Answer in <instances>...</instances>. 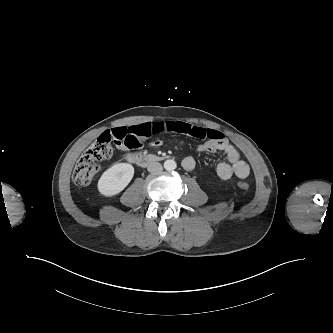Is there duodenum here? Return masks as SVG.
Instances as JSON below:
<instances>
[{
  "label": "duodenum",
  "mask_w": 333,
  "mask_h": 333,
  "mask_svg": "<svg viewBox=\"0 0 333 333\" xmlns=\"http://www.w3.org/2000/svg\"><path fill=\"white\" fill-rule=\"evenodd\" d=\"M125 158L127 161L135 163L141 167L148 166L163 159L162 156L143 153H128Z\"/></svg>",
  "instance_id": "1"
}]
</instances>
